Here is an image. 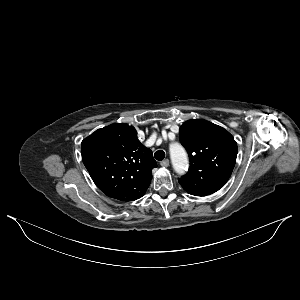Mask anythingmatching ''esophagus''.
I'll use <instances>...</instances> for the list:
<instances>
[{
    "instance_id": "obj_1",
    "label": "esophagus",
    "mask_w": 300,
    "mask_h": 300,
    "mask_svg": "<svg viewBox=\"0 0 300 300\" xmlns=\"http://www.w3.org/2000/svg\"><path fill=\"white\" fill-rule=\"evenodd\" d=\"M160 165L162 167H168L169 166V160L168 159H164L163 161L160 162Z\"/></svg>"
}]
</instances>
